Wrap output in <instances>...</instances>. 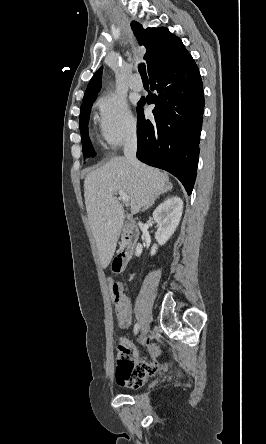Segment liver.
Listing matches in <instances>:
<instances>
[{
	"label": "liver",
	"instance_id": "obj_1",
	"mask_svg": "<svg viewBox=\"0 0 266 444\" xmlns=\"http://www.w3.org/2000/svg\"><path fill=\"white\" fill-rule=\"evenodd\" d=\"M170 189L166 174L140 162L135 169L125 157L112 158L87 174L85 205L103 268L111 262L124 223L123 206L114 194L125 192L130 197L131 212L137 214Z\"/></svg>",
	"mask_w": 266,
	"mask_h": 444
}]
</instances>
